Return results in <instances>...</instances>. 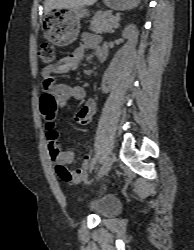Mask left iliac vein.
<instances>
[{"label":"left iliac vein","instance_id":"left-iliac-vein-1","mask_svg":"<svg viewBox=\"0 0 194 250\" xmlns=\"http://www.w3.org/2000/svg\"><path fill=\"white\" fill-rule=\"evenodd\" d=\"M113 161H114V159L112 156H108L105 159V161L103 162L102 167L99 171L98 178H102L110 171L112 164H113Z\"/></svg>","mask_w":194,"mask_h":250}]
</instances>
